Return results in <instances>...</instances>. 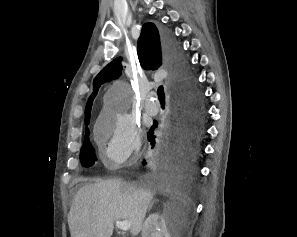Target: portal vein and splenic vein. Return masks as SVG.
Here are the masks:
<instances>
[{
    "mask_svg": "<svg viewBox=\"0 0 297 237\" xmlns=\"http://www.w3.org/2000/svg\"><path fill=\"white\" fill-rule=\"evenodd\" d=\"M116 226L122 231H128L130 229V222L127 220L124 221H116Z\"/></svg>",
    "mask_w": 297,
    "mask_h": 237,
    "instance_id": "obj_1",
    "label": "portal vein and splenic vein"
}]
</instances>
